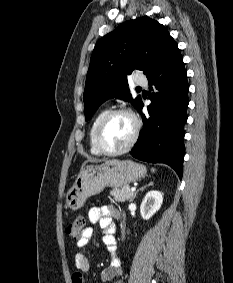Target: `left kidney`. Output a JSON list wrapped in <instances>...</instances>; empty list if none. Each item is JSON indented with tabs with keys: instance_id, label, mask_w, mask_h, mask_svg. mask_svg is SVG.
I'll return each mask as SVG.
<instances>
[{
	"instance_id": "left-kidney-1",
	"label": "left kidney",
	"mask_w": 233,
	"mask_h": 283,
	"mask_svg": "<svg viewBox=\"0 0 233 283\" xmlns=\"http://www.w3.org/2000/svg\"><path fill=\"white\" fill-rule=\"evenodd\" d=\"M163 203V196L159 191H150L144 197L140 212L144 220L150 219L161 207Z\"/></svg>"
}]
</instances>
